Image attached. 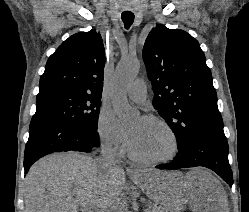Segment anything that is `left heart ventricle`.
Here are the masks:
<instances>
[{
    "instance_id": "b2bd125f",
    "label": "left heart ventricle",
    "mask_w": 249,
    "mask_h": 212,
    "mask_svg": "<svg viewBox=\"0 0 249 212\" xmlns=\"http://www.w3.org/2000/svg\"><path fill=\"white\" fill-rule=\"evenodd\" d=\"M128 132L134 137L132 150L144 159H162L173 152L174 142L171 135L157 122L138 118L132 122Z\"/></svg>"
}]
</instances>
